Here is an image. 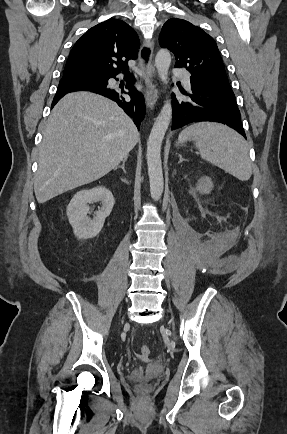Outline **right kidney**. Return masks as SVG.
Masks as SVG:
<instances>
[{"label":"right kidney","mask_w":287,"mask_h":434,"mask_svg":"<svg viewBox=\"0 0 287 434\" xmlns=\"http://www.w3.org/2000/svg\"><path fill=\"white\" fill-rule=\"evenodd\" d=\"M101 201L102 206L93 219L87 217L88 203ZM114 206V197L106 187L99 186L77 192L67 206V217L75 236L79 239L94 238L103 228L105 219Z\"/></svg>","instance_id":"1"}]
</instances>
